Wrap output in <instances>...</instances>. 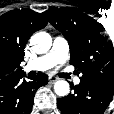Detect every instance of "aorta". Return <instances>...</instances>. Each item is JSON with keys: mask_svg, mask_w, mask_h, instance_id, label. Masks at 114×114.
<instances>
[{"mask_svg": "<svg viewBox=\"0 0 114 114\" xmlns=\"http://www.w3.org/2000/svg\"><path fill=\"white\" fill-rule=\"evenodd\" d=\"M30 44L36 53H46L51 48L52 38L46 32H39L31 37ZM69 89V83L65 80L56 81L54 84V90L58 96H66L70 91Z\"/></svg>", "mask_w": 114, "mask_h": 114, "instance_id": "obj_1", "label": "aorta"}]
</instances>
